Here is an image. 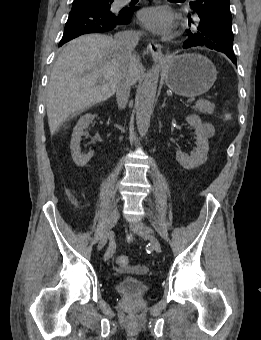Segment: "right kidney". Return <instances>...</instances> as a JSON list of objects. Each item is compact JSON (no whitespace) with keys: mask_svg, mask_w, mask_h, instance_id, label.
Segmentation results:
<instances>
[{"mask_svg":"<svg viewBox=\"0 0 261 340\" xmlns=\"http://www.w3.org/2000/svg\"><path fill=\"white\" fill-rule=\"evenodd\" d=\"M96 115L86 114L82 116L73 129L72 138L70 142L71 155L74 163L79 167H84L92 158L94 152L89 151L87 154L81 153L80 142L84 130L88 128Z\"/></svg>","mask_w":261,"mask_h":340,"instance_id":"obj_1","label":"right kidney"}]
</instances>
